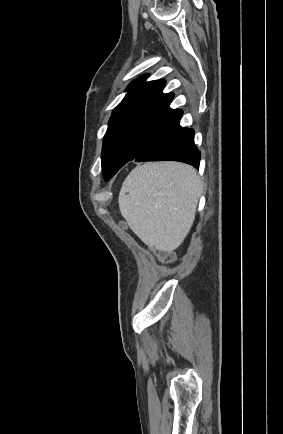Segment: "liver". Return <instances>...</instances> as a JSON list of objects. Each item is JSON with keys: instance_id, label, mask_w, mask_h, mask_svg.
Returning a JSON list of instances; mask_svg holds the SVG:
<instances>
[{"instance_id": "liver-1", "label": "liver", "mask_w": 283, "mask_h": 434, "mask_svg": "<svg viewBox=\"0 0 283 434\" xmlns=\"http://www.w3.org/2000/svg\"><path fill=\"white\" fill-rule=\"evenodd\" d=\"M203 185L197 171L178 162L138 165L124 180L119 209L148 247L172 252L189 233Z\"/></svg>"}]
</instances>
